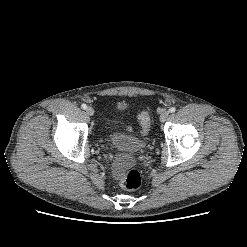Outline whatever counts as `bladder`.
<instances>
[{
  "label": "bladder",
  "mask_w": 247,
  "mask_h": 247,
  "mask_svg": "<svg viewBox=\"0 0 247 247\" xmlns=\"http://www.w3.org/2000/svg\"><path fill=\"white\" fill-rule=\"evenodd\" d=\"M108 138L113 146L125 152H140L147 146V141L145 139L133 135H127L118 131L110 132Z\"/></svg>",
  "instance_id": "1"
}]
</instances>
